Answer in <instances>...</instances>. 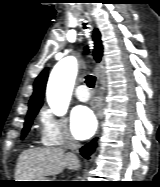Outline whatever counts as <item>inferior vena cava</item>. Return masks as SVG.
Masks as SVG:
<instances>
[{
  "mask_svg": "<svg viewBox=\"0 0 160 187\" xmlns=\"http://www.w3.org/2000/svg\"><path fill=\"white\" fill-rule=\"evenodd\" d=\"M67 148L71 150L77 149L78 144L74 140L70 139V141L67 144Z\"/></svg>",
  "mask_w": 160,
  "mask_h": 187,
  "instance_id": "1",
  "label": "inferior vena cava"
}]
</instances>
